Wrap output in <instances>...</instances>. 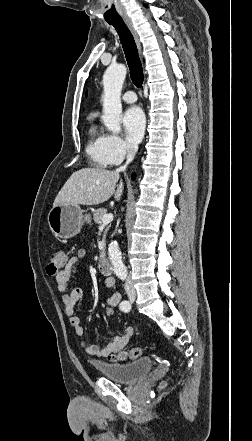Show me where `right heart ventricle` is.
<instances>
[{
    "label": "right heart ventricle",
    "instance_id": "obj_1",
    "mask_svg": "<svg viewBox=\"0 0 252 441\" xmlns=\"http://www.w3.org/2000/svg\"><path fill=\"white\" fill-rule=\"evenodd\" d=\"M86 154L92 164L97 167L105 168L111 165L105 150V135L98 129L94 122H91L88 129Z\"/></svg>",
    "mask_w": 252,
    "mask_h": 441
}]
</instances>
